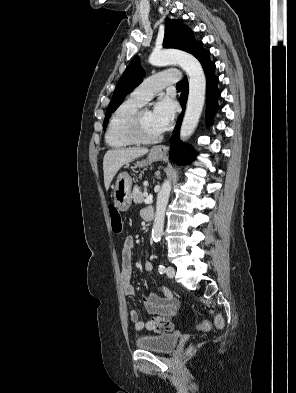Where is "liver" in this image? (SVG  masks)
Returning a JSON list of instances; mask_svg holds the SVG:
<instances>
[{"instance_id": "obj_1", "label": "liver", "mask_w": 296, "mask_h": 393, "mask_svg": "<svg viewBox=\"0 0 296 393\" xmlns=\"http://www.w3.org/2000/svg\"><path fill=\"white\" fill-rule=\"evenodd\" d=\"M147 153V148H125L108 150L103 158L104 184L106 190L109 189L111 181L123 165Z\"/></svg>"}]
</instances>
